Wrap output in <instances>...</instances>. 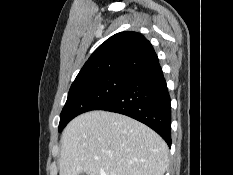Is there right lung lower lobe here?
Returning a JSON list of instances; mask_svg holds the SVG:
<instances>
[{
	"label": "right lung lower lobe",
	"mask_w": 233,
	"mask_h": 175,
	"mask_svg": "<svg viewBox=\"0 0 233 175\" xmlns=\"http://www.w3.org/2000/svg\"><path fill=\"white\" fill-rule=\"evenodd\" d=\"M95 110L127 115L156 131L171 146V107L159 63L134 76L113 98Z\"/></svg>",
	"instance_id": "obj_1"
}]
</instances>
